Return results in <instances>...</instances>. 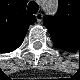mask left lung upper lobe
Instances as JSON below:
<instances>
[{
    "label": "left lung upper lobe",
    "instance_id": "obj_1",
    "mask_svg": "<svg viewBox=\"0 0 80 80\" xmlns=\"http://www.w3.org/2000/svg\"><path fill=\"white\" fill-rule=\"evenodd\" d=\"M44 25L48 28L54 43L58 45L68 46L73 37L79 38L77 33L79 21L73 17L69 3L59 0V10L54 17H45Z\"/></svg>",
    "mask_w": 80,
    "mask_h": 80
}]
</instances>
